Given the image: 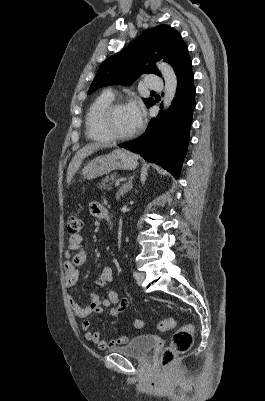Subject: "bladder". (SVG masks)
<instances>
[{
	"label": "bladder",
	"mask_w": 265,
	"mask_h": 401,
	"mask_svg": "<svg viewBox=\"0 0 265 401\" xmlns=\"http://www.w3.org/2000/svg\"><path fill=\"white\" fill-rule=\"evenodd\" d=\"M155 346V340L149 335L135 336L125 346L109 349L114 352H121L124 356L147 358L150 349Z\"/></svg>",
	"instance_id": "1"
}]
</instances>
